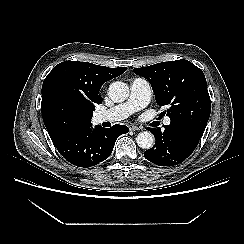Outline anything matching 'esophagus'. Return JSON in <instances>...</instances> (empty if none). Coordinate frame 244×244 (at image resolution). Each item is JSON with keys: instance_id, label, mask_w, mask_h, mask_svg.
<instances>
[{"instance_id": "esophagus-1", "label": "esophagus", "mask_w": 244, "mask_h": 244, "mask_svg": "<svg viewBox=\"0 0 244 244\" xmlns=\"http://www.w3.org/2000/svg\"><path fill=\"white\" fill-rule=\"evenodd\" d=\"M140 128L138 127V126H135V125H130V127H129V130L130 131H137V130H139Z\"/></svg>"}]
</instances>
